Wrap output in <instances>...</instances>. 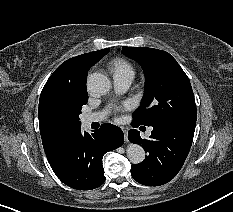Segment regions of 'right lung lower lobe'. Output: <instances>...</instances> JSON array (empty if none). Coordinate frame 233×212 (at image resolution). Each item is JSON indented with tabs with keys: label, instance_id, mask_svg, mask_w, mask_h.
Here are the masks:
<instances>
[{
	"label": "right lung lower lobe",
	"instance_id": "right-lung-lower-lobe-1",
	"mask_svg": "<svg viewBox=\"0 0 233 212\" xmlns=\"http://www.w3.org/2000/svg\"><path fill=\"white\" fill-rule=\"evenodd\" d=\"M124 142L122 130L112 124H102L94 133L71 131L52 154L48 162L56 176L66 185L78 190H91L105 181L103 155Z\"/></svg>",
	"mask_w": 233,
	"mask_h": 212
}]
</instances>
